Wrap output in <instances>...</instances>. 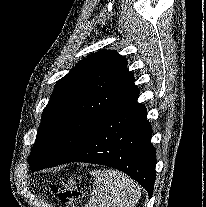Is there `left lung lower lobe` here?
<instances>
[{
    "label": "left lung lower lobe",
    "instance_id": "0a47b994",
    "mask_svg": "<svg viewBox=\"0 0 206 207\" xmlns=\"http://www.w3.org/2000/svg\"><path fill=\"white\" fill-rule=\"evenodd\" d=\"M133 84L100 117L82 145L68 158L48 167L69 162H87L117 168L136 180L152 196L156 151L150 143L152 129L146 109L137 102ZM32 170H39L32 167Z\"/></svg>",
    "mask_w": 206,
    "mask_h": 207
}]
</instances>
